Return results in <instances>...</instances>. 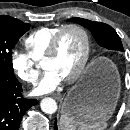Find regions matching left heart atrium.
Instances as JSON below:
<instances>
[{
	"label": "left heart atrium",
	"instance_id": "obj_1",
	"mask_svg": "<svg viewBox=\"0 0 130 130\" xmlns=\"http://www.w3.org/2000/svg\"><path fill=\"white\" fill-rule=\"evenodd\" d=\"M63 78L54 70H47L41 80L37 83L32 93L34 95H44L56 90L62 83Z\"/></svg>",
	"mask_w": 130,
	"mask_h": 130
}]
</instances>
